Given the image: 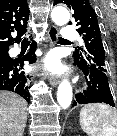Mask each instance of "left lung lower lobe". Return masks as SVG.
<instances>
[{"instance_id":"left-lung-lower-lobe-1","label":"left lung lower lobe","mask_w":117,"mask_h":136,"mask_svg":"<svg viewBox=\"0 0 117 136\" xmlns=\"http://www.w3.org/2000/svg\"><path fill=\"white\" fill-rule=\"evenodd\" d=\"M74 64L77 65L86 76L87 89L84 90L83 93L76 95L72 107L78 104L88 103H106L114 107L107 73L98 69L95 64L81 62L75 57Z\"/></svg>"}]
</instances>
